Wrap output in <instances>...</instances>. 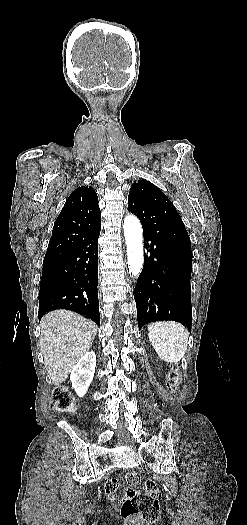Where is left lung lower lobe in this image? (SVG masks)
Masks as SVG:
<instances>
[{"label":"left lung lower lobe","instance_id":"left-lung-lower-lobe-1","mask_svg":"<svg viewBox=\"0 0 247 525\" xmlns=\"http://www.w3.org/2000/svg\"><path fill=\"white\" fill-rule=\"evenodd\" d=\"M144 266L134 289L138 326L179 321L191 330L190 277L192 258L162 236L144 231Z\"/></svg>","mask_w":247,"mask_h":525}]
</instances>
